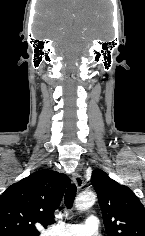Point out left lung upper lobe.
Returning a JSON list of instances; mask_svg holds the SVG:
<instances>
[{
	"instance_id": "left-lung-upper-lobe-1",
	"label": "left lung upper lobe",
	"mask_w": 145,
	"mask_h": 236,
	"mask_svg": "<svg viewBox=\"0 0 145 236\" xmlns=\"http://www.w3.org/2000/svg\"><path fill=\"white\" fill-rule=\"evenodd\" d=\"M108 236H145V208L127 186L117 183L101 169L92 172Z\"/></svg>"
}]
</instances>
